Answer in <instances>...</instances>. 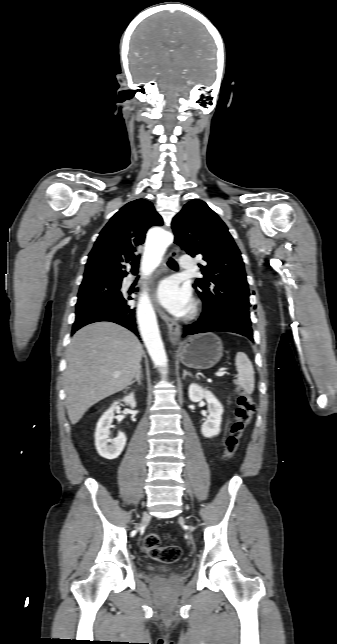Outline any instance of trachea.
<instances>
[{
	"label": "trachea",
	"instance_id": "3493384b",
	"mask_svg": "<svg viewBox=\"0 0 337 644\" xmlns=\"http://www.w3.org/2000/svg\"><path fill=\"white\" fill-rule=\"evenodd\" d=\"M167 265L173 269H178V264L174 259H169V261L167 262Z\"/></svg>",
	"mask_w": 337,
	"mask_h": 644
}]
</instances>
